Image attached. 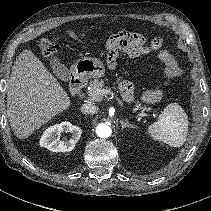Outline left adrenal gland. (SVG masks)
I'll return each instance as SVG.
<instances>
[{
  "label": "left adrenal gland",
  "instance_id": "1",
  "mask_svg": "<svg viewBox=\"0 0 211 211\" xmlns=\"http://www.w3.org/2000/svg\"><path fill=\"white\" fill-rule=\"evenodd\" d=\"M120 124L122 126V130L125 128H133V129L135 128L134 125L129 124L127 121L125 122V121L121 120Z\"/></svg>",
  "mask_w": 211,
  "mask_h": 211
}]
</instances>
